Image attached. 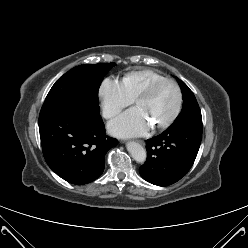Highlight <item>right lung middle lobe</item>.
<instances>
[{"label":"right lung middle lobe","instance_id":"dd1d6c3e","mask_svg":"<svg viewBox=\"0 0 248 248\" xmlns=\"http://www.w3.org/2000/svg\"><path fill=\"white\" fill-rule=\"evenodd\" d=\"M115 65V63L80 65L65 73L49 91L39 118L68 109L83 100L99 104L100 84L106 73Z\"/></svg>","mask_w":248,"mask_h":248}]
</instances>
